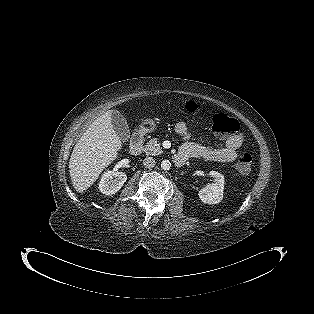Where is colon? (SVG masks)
<instances>
[{
	"label": "colon",
	"mask_w": 314,
	"mask_h": 314,
	"mask_svg": "<svg viewBox=\"0 0 314 314\" xmlns=\"http://www.w3.org/2000/svg\"><path fill=\"white\" fill-rule=\"evenodd\" d=\"M184 108L189 113H194L197 106L193 102H186ZM212 131L219 136L233 135L239 130V124L236 119L229 117L223 112H216L211 115ZM252 166V157L248 153L241 154L236 162V169L243 175L250 172Z\"/></svg>",
	"instance_id": "1"
}]
</instances>
